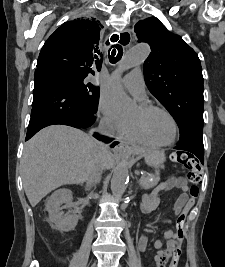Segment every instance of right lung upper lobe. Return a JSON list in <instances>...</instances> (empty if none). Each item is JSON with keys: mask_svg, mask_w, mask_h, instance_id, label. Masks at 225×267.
Returning <instances> with one entry per match:
<instances>
[{"mask_svg": "<svg viewBox=\"0 0 225 267\" xmlns=\"http://www.w3.org/2000/svg\"><path fill=\"white\" fill-rule=\"evenodd\" d=\"M101 24L94 19H77L62 24L40 52L37 68L87 77L101 69Z\"/></svg>", "mask_w": 225, "mask_h": 267, "instance_id": "1", "label": "right lung upper lobe"}]
</instances>
